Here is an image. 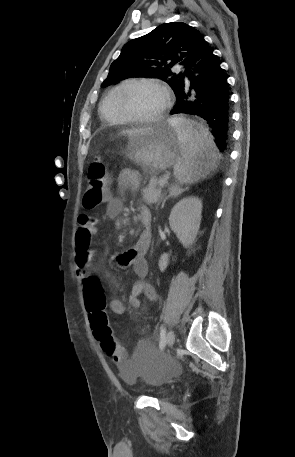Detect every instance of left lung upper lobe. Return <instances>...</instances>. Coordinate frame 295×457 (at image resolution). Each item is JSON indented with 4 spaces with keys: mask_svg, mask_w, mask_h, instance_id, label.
I'll use <instances>...</instances> for the list:
<instances>
[{
    "mask_svg": "<svg viewBox=\"0 0 295 457\" xmlns=\"http://www.w3.org/2000/svg\"><path fill=\"white\" fill-rule=\"evenodd\" d=\"M203 40V35L186 23H164L124 45L101 87L131 77L158 78L168 83L176 94L184 79L183 74H176L171 68L177 63L187 67Z\"/></svg>",
    "mask_w": 295,
    "mask_h": 457,
    "instance_id": "1",
    "label": "left lung upper lobe"
}]
</instances>
